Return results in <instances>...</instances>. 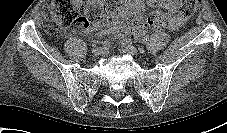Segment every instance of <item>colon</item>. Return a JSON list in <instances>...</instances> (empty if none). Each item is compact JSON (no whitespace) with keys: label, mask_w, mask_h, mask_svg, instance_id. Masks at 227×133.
<instances>
[{"label":"colon","mask_w":227,"mask_h":133,"mask_svg":"<svg viewBox=\"0 0 227 133\" xmlns=\"http://www.w3.org/2000/svg\"><path fill=\"white\" fill-rule=\"evenodd\" d=\"M180 14L191 16L197 9L199 0H178ZM114 10L106 0H49L42 20L46 33L54 38L61 37L69 28L85 30L91 24L104 21ZM138 14L135 18H139ZM151 22H163V14L154 12L147 18Z\"/></svg>","instance_id":"1"}]
</instances>
